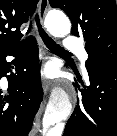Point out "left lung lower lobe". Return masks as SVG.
<instances>
[{
  "instance_id": "1",
  "label": "left lung lower lobe",
  "mask_w": 117,
  "mask_h": 136,
  "mask_svg": "<svg viewBox=\"0 0 117 136\" xmlns=\"http://www.w3.org/2000/svg\"><path fill=\"white\" fill-rule=\"evenodd\" d=\"M86 68L90 86L79 89L63 136H117V62L95 61Z\"/></svg>"
}]
</instances>
